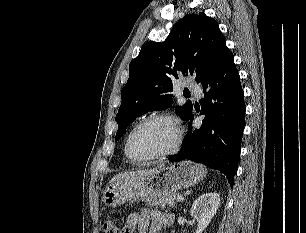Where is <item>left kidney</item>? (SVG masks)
Here are the masks:
<instances>
[{"instance_id":"1","label":"left kidney","mask_w":306,"mask_h":233,"mask_svg":"<svg viewBox=\"0 0 306 233\" xmlns=\"http://www.w3.org/2000/svg\"><path fill=\"white\" fill-rule=\"evenodd\" d=\"M220 205V194L208 192L199 196L191 207V215L198 221L196 233H203Z\"/></svg>"}]
</instances>
